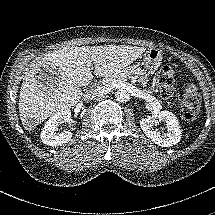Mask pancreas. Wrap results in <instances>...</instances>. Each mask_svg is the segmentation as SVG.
<instances>
[{
	"label": "pancreas",
	"mask_w": 215,
	"mask_h": 215,
	"mask_svg": "<svg viewBox=\"0 0 215 215\" xmlns=\"http://www.w3.org/2000/svg\"><path fill=\"white\" fill-rule=\"evenodd\" d=\"M130 75H137L138 81L142 84L148 81V73L144 69L140 68L137 64L124 68L122 73L115 72L108 75L107 77L110 79V82H112L113 79L125 80Z\"/></svg>",
	"instance_id": "1"
}]
</instances>
